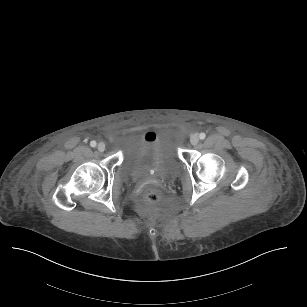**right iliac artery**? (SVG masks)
<instances>
[{
    "instance_id": "obj_1",
    "label": "right iliac artery",
    "mask_w": 307,
    "mask_h": 307,
    "mask_svg": "<svg viewBox=\"0 0 307 307\" xmlns=\"http://www.w3.org/2000/svg\"><path fill=\"white\" fill-rule=\"evenodd\" d=\"M96 144H97L96 141H91V142H90V146H91V147H95Z\"/></svg>"
}]
</instances>
